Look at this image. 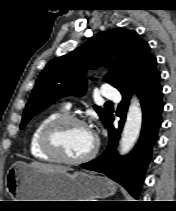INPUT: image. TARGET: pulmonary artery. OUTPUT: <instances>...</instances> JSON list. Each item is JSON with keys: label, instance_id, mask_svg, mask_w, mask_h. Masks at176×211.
Here are the masks:
<instances>
[{"label": "pulmonary artery", "instance_id": "pulmonary-artery-1", "mask_svg": "<svg viewBox=\"0 0 176 211\" xmlns=\"http://www.w3.org/2000/svg\"><path fill=\"white\" fill-rule=\"evenodd\" d=\"M102 96L106 99L109 100H119L120 98V93L118 90L112 89L109 86L104 87V89L101 92ZM65 108L68 109L70 108V104L66 103Z\"/></svg>", "mask_w": 176, "mask_h": 211}]
</instances>
